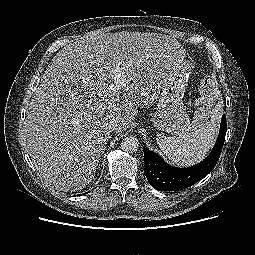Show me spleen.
I'll return each instance as SVG.
<instances>
[{"instance_id": "3e777b00", "label": "spleen", "mask_w": 255, "mask_h": 255, "mask_svg": "<svg viewBox=\"0 0 255 255\" xmlns=\"http://www.w3.org/2000/svg\"><path fill=\"white\" fill-rule=\"evenodd\" d=\"M219 123L218 109L210 112H196L192 122V132L180 137H166L158 134L157 144L168 159L176 165H193L201 161L213 146Z\"/></svg>"}]
</instances>
